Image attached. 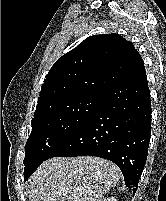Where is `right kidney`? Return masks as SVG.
Returning a JSON list of instances; mask_svg holds the SVG:
<instances>
[{
  "mask_svg": "<svg viewBox=\"0 0 166 201\" xmlns=\"http://www.w3.org/2000/svg\"><path fill=\"white\" fill-rule=\"evenodd\" d=\"M103 201H116V199L114 197H110V198L104 199Z\"/></svg>",
  "mask_w": 166,
  "mask_h": 201,
  "instance_id": "1",
  "label": "right kidney"
}]
</instances>
